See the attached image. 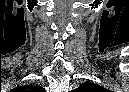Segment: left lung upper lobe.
<instances>
[{"instance_id":"1","label":"left lung upper lobe","mask_w":129,"mask_h":92,"mask_svg":"<svg viewBox=\"0 0 129 92\" xmlns=\"http://www.w3.org/2000/svg\"><path fill=\"white\" fill-rule=\"evenodd\" d=\"M76 92H109L103 86L91 83L90 81L81 84L76 90Z\"/></svg>"}]
</instances>
